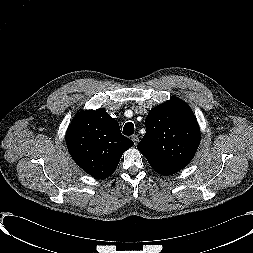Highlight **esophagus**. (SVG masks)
I'll list each match as a JSON object with an SVG mask.
<instances>
[{
  "mask_svg": "<svg viewBox=\"0 0 253 253\" xmlns=\"http://www.w3.org/2000/svg\"><path fill=\"white\" fill-rule=\"evenodd\" d=\"M132 141L134 142V145H137V143L139 142V137L138 135H132L131 136Z\"/></svg>",
  "mask_w": 253,
  "mask_h": 253,
  "instance_id": "obj_1",
  "label": "esophagus"
}]
</instances>
